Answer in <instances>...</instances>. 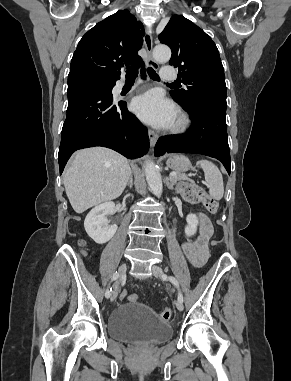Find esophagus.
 I'll return each mask as SVG.
<instances>
[{"mask_svg": "<svg viewBox=\"0 0 291 381\" xmlns=\"http://www.w3.org/2000/svg\"><path fill=\"white\" fill-rule=\"evenodd\" d=\"M144 46L147 52V65L154 69H158L159 67L158 63L153 59V56H152L153 39H152V34L149 31H146L144 35ZM148 135H149L150 145L151 147H153L158 140V134L154 132L153 130L149 129Z\"/></svg>", "mask_w": 291, "mask_h": 381, "instance_id": "1", "label": "esophagus"}]
</instances>
